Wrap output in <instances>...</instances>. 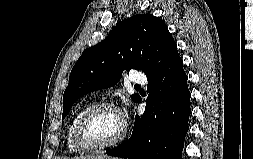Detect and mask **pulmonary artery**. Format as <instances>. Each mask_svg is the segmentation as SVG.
<instances>
[{
  "instance_id": "pulmonary-artery-1",
  "label": "pulmonary artery",
  "mask_w": 253,
  "mask_h": 159,
  "mask_svg": "<svg viewBox=\"0 0 253 159\" xmlns=\"http://www.w3.org/2000/svg\"><path fill=\"white\" fill-rule=\"evenodd\" d=\"M130 80L134 85H145L147 83V77L144 72L135 71L131 74Z\"/></svg>"
}]
</instances>
